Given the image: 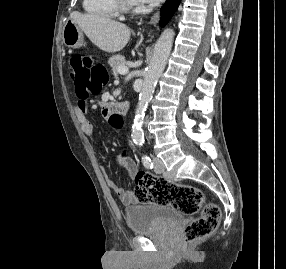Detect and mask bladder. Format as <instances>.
<instances>
[{
  "mask_svg": "<svg viewBox=\"0 0 286 269\" xmlns=\"http://www.w3.org/2000/svg\"><path fill=\"white\" fill-rule=\"evenodd\" d=\"M130 230L145 235L166 229L182 220V213L167 205L146 203L125 209Z\"/></svg>",
  "mask_w": 286,
  "mask_h": 269,
  "instance_id": "31cf9c89",
  "label": "bladder"
}]
</instances>
